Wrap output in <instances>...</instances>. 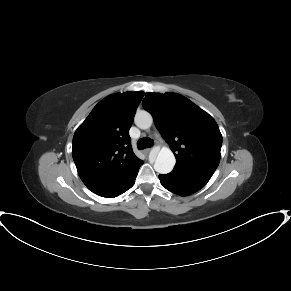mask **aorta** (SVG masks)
Returning a JSON list of instances; mask_svg holds the SVG:
<instances>
[{"mask_svg":"<svg viewBox=\"0 0 291 291\" xmlns=\"http://www.w3.org/2000/svg\"><path fill=\"white\" fill-rule=\"evenodd\" d=\"M134 122L138 128L145 130L151 127L153 118L149 112L141 110L137 111ZM174 165L175 157L172 151L167 147L161 148L154 163L155 171L160 174H168Z\"/></svg>","mask_w":291,"mask_h":291,"instance_id":"1","label":"aorta"}]
</instances>
